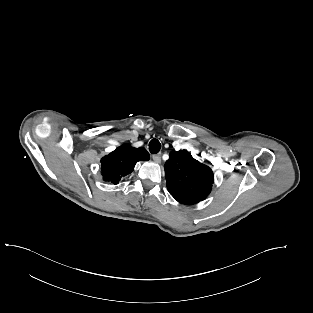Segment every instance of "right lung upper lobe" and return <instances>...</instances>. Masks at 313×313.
Returning <instances> with one entry per match:
<instances>
[{
  "label": "right lung upper lobe",
  "mask_w": 313,
  "mask_h": 313,
  "mask_svg": "<svg viewBox=\"0 0 313 313\" xmlns=\"http://www.w3.org/2000/svg\"><path fill=\"white\" fill-rule=\"evenodd\" d=\"M149 160L145 148H134L124 144L101 159V171L105 181L118 184L121 178L130 174L138 161Z\"/></svg>",
  "instance_id": "cb5924a9"
}]
</instances>
